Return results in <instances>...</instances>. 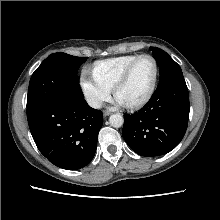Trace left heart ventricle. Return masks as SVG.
Listing matches in <instances>:
<instances>
[{
  "instance_id": "b2bd125f",
  "label": "left heart ventricle",
  "mask_w": 220,
  "mask_h": 220,
  "mask_svg": "<svg viewBox=\"0 0 220 220\" xmlns=\"http://www.w3.org/2000/svg\"><path fill=\"white\" fill-rule=\"evenodd\" d=\"M155 74L154 63L149 58L141 59L134 67L128 81L118 90L116 97L124 104H133L149 92Z\"/></svg>"
}]
</instances>
